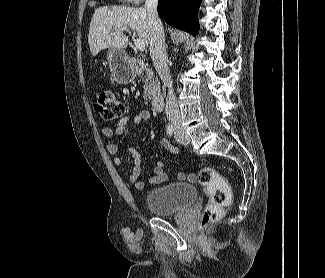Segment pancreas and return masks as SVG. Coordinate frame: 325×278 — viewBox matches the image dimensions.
Masks as SVG:
<instances>
[{
  "mask_svg": "<svg viewBox=\"0 0 325 278\" xmlns=\"http://www.w3.org/2000/svg\"><path fill=\"white\" fill-rule=\"evenodd\" d=\"M144 82V99L152 100L156 96L160 95V84L156 75L151 70H146L141 76Z\"/></svg>",
  "mask_w": 325,
  "mask_h": 278,
  "instance_id": "obj_1",
  "label": "pancreas"
}]
</instances>
